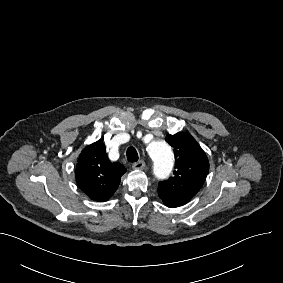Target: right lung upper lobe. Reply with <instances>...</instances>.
I'll use <instances>...</instances> for the list:
<instances>
[{
	"mask_svg": "<svg viewBox=\"0 0 283 283\" xmlns=\"http://www.w3.org/2000/svg\"><path fill=\"white\" fill-rule=\"evenodd\" d=\"M126 169L120 163H111L103 140L87 146L79 155L75 170L79 188L95 201H107L117 190Z\"/></svg>",
	"mask_w": 283,
	"mask_h": 283,
	"instance_id": "obj_1",
	"label": "right lung upper lobe"
}]
</instances>
